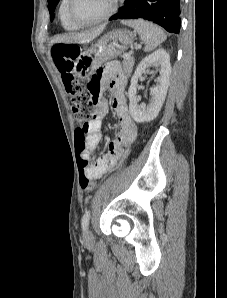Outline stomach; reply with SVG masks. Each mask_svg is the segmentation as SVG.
I'll list each match as a JSON object with an SVG mask.
<instances>
[{
	"label": "stomach",
	"mask_w": 227,
	"mask_h": 298,
	"mask_svg": "<svg viewBox=\"0 0 227 298\" xmlns=\"http://www.w3.org/2000/svg\"><path fill=\"white\" fill-rule=\"evenodd\" d=\"M135 34L126 29L110 31L90 48L85 49L74 63V74L80 80L88 79L101 63L121 55L132 45Z\"/></svg>",
	"instance_id": "0dacf381"
}]
</instances>
